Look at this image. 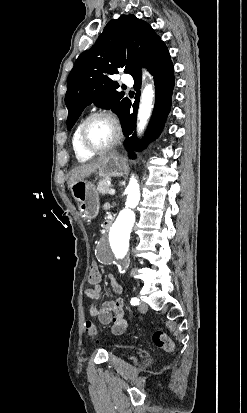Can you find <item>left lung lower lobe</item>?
Instances as JSON below:
<instances>
[{
	"instance_id": "1",
	"label": "left lung lower lobe",
	"mask_w": 247,
	"mask_h": 413,
	"mask_svg": "<svg viewBox=\"0 0 247 413\" xmlns=\"http://www.w3.org/2000/svg\"><path fill=\"white\" fill-rule=\"evenodd\" d=\"M146 67L153 75L156 89V101L153 111V115L150 124L147 129L146 138L148 140L155 139L161 133L168 113L170 112L172 102V92L174 88V68L170 59L169 51L167 48H163L157 51L146 64ZM134 89L140 92L141 87V72L134 77ZM140 93L135 96V102L133 104L134 113L130 114L129 110L131 102L129 101L128 107L125 112L124 120L122 121L123 133L126 137H129L125 141V146L128 149L140 151L146 142H138L136 139L135 130L136 127V114L139 104ZM133 133V134H132ZM134 154H131L133 157Z\"/></svg>"
}]
</instances>
